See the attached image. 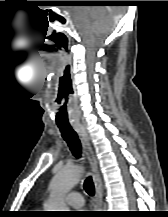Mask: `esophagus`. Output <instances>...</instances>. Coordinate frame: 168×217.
Instances as JSON below:
<instances>
[{"instance_id":"1","label":"esophagus","mask_w":168,"mask_h":217,"mask_svg":"<svg viewBox=\"0 0 168 217\" xmlns=\"http://www.w3.org/2000/svg\"><path fill=\"white\" fill-rule=\"evenodd\" d=\"M74 129L80 135L82 139L83 147L85 149V153L89 160L92 174H93V181L95 185V202H96L97 207L101 208L102 203H103V184H102L101 174L99 171L96 155L90 144L89 137H88V134L85 128L79 124V125L74 126Z\"/></svg>"}]
</instances>
